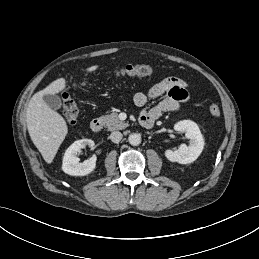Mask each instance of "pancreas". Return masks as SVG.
<instances>
[{
	"label": "pancreas",
	"mask_w": 259,
	"mask_h": 259,
	"mask_svg": "<svg viewBox=\"0 0 259 259\" xmlns=\"http://www.w3.org/2000/svg\"><path fill=\"white\" fill-rule=\"evenodd\" d=\"M101 120L105 123L109 131L121 130L129 126L128 123H125L119 119L116 112L102 116Z\"/></svg>",
	"instance_id": "obj_1"
}]
</instances>
